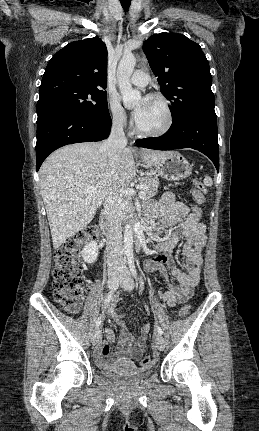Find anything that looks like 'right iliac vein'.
I'll use <instances>...</instances> for the list:
<instances>
[{
	"instance_id": "obj_1",
	"label": "right iliac vein",
	"mask_w": 259,
	"mask_h": 431,
	"mask_svg": "<svg viewBox=\"0 0 259 431\" xmlns=\"http://www.w3.org/2000/svg\"><path fill=\"white\" fill-rule=\"evenodd\" d=\"M119 278V272L118 271H112L108 278V288L109 289H115L117 287V282ZM101 332L100 328H96L92 334V344L95 345L100 340Z\"/></svg>"
}]
</instances>
